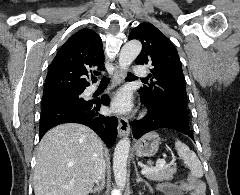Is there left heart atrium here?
<instances>
[{
	"label": "left heart atrium",
	"instance_id": "left-heart-atrium-1",
	"mask_svg": "<svg viewBox=\"0 0 240 195\" xmlns=\"http://www.w3.org/2000/svg\"><path fill=\"white\" fill-rule=\"evenodd\" d=\"M132 103L130 96L125 91L118 92L112 102L111 110L116 113H126L131 109Z\"/></svg>",
	"mask_w": 240,
	"mask_h": 195
}]
</instances>
